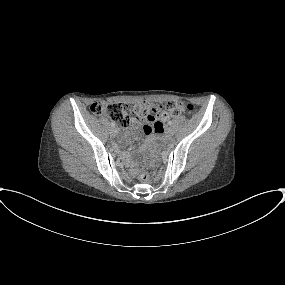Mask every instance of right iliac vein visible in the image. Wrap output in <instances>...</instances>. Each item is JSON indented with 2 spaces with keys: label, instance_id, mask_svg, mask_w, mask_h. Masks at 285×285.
<instances>
[{
  "label": "right iliac vein",
  "instance_id": "right-iliac-vein-1",
  "mask_svg": "<svg viewBox=\"0 0 285 285\" xmlns=\"http://www.w3.org/2000/svg\"><path fill=\"white\" fill-rule=\"evenodd\" d=\"M117 133H118L117 128H112V129L110 130V135H111L112 137H115V136L117 135Z\"/></svg>",
  "mask_w": 285,
  "mask_h": 285
}]
</instances>
